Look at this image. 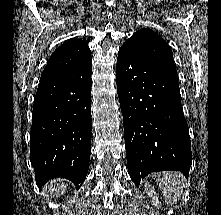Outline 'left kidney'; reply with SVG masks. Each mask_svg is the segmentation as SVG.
Returning <instances> with one entry per match:
<instances>
[{
	"instance_id": "obj_1",
	"label": "left kidney",
	"mask_w": 221,
	"mask_h": 215,
	"mask_svg": "<svg viewBox=\"0 0 221 215\" xmlns=\"http://www.w3.org/2000/svg\"><path fill=\"white\" fill-rule=\"evenodd\" d=\"M144 187H145V191H146L147 195L150 198H152V204L154 206L159 207L160 203H159V200H158V197H157L154 187L151 184H149L148 182H145Z\"/></svg>"
}]
</instances>
